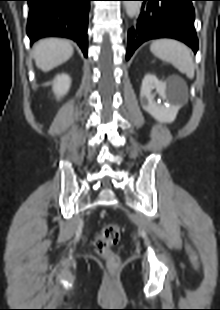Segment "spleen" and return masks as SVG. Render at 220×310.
Masks as SVG:
<instances>
[{
  "label": "spleen",
  "mask_w": 220,
  "mask_h": 310,
  "mask_svg": "<svg viewBox=\"0 0 220 310\" xmlns=\"http://www.w3.org/2000/svg\"><path fill=\"white\" fill-rule=\"evenodd\" d=\"M151 52L159 59L171 63L189 79L194 77V64L189 48L183 43L172 39L153 41Z\"/></svg>",
  "instance_id": "spleen-1"
}]
</instances>
